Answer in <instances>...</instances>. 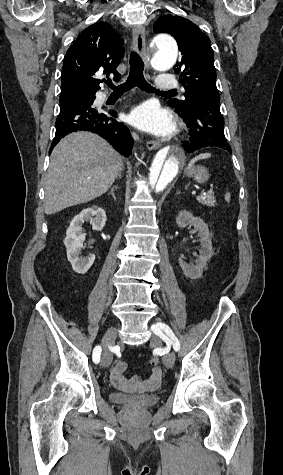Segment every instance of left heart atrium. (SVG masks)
Listing matches in <instances>:
<instances>
[{
    "instance_id": "left-heart-atrium-1",
    "label": "left heart atrium",
    "mask_w": 283,
    "mask_h": 475,
    "mask_svg": "<svg viewBox=\"0 0 283 475\" xmlns=\"http://www.w3.org/2000/svg\"><path fill=\"white\" fill-rule=\"evenodd\" d=\"M129 120L139 131L159 137H168L175 130L173 115L153 100L134 107L130 112Z\"/></svg>"
}]
</instances>
